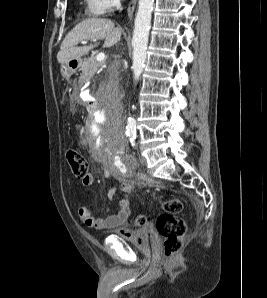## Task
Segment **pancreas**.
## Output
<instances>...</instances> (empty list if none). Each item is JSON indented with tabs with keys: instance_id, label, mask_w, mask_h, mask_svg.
<instances>
[{
	"instance_id": "obj_1",
	"label": "pancreas",
	"mask_w": 267,
	"mask_h": 298,
	"mask_svg": "<svg viewBox=\"0 0 267 298\" xmlns=\"http://www.w3.org/2000/svg\"><path fill=\"white\" fill-rule=\"evenodd\" d=\"M105 61L98 62L96 57H90L81 65L82 76L81 79H90L96 71L104 65Z\"/></svg>"
}]
</instances>
